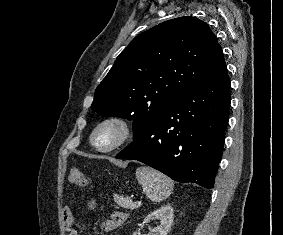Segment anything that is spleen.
<instances>
[{
    "instance_id": "spleen-1",
    "label": "spleen",
    "mask_w": 283,
    "mask_h": 235,
    "mask_svg": "<svg viewBox=\"0 0 283 235\" xmlns=\"http://www.w3.org/2000/svg\"><path fill=\"white\" fill-rule=\"evenodd\" d=\"M136 178L142 185L146 196L155 203L167 199L174 187V183L169 177L145 166L136 169Z\"/></svg>"
}]
</instances>
